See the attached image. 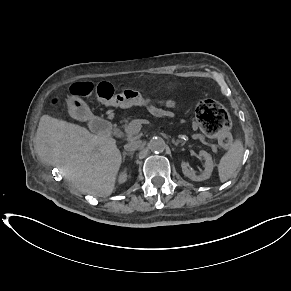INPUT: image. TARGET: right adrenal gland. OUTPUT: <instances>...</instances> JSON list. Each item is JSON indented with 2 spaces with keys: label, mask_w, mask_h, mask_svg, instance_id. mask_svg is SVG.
<instances>
[{
  "label": "right adrenal gland",
  "mask_w": 291,
  "mask_h": 291,
  "mask_svg": "<svg viewBox=\"0 0 291 291\" xmlns=\"http://www.w3.org/2000/svg\"><path fill=\"white\" fill-rule=\"evenodd\" d=\"M133 152H123V161L125 160V157L128 156H133Z\"/></svg>",
  "instance_id": "1"
}]
</instances>
